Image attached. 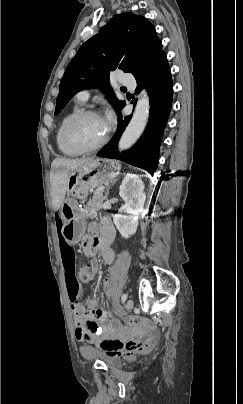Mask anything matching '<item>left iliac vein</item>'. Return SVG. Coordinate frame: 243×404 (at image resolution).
I'll list each match as a JSON object with an SVG mask.
<instances>
[{"instance_id": "left-iliac-vein-1", "label": "left iliac vein", "mask_w": 243, "mask_h": 404, "mask_svg": "<svg viewBox=\"0 0 243 404\" xmlns=\"http://www.w3.org/2000/svg\"><path fill=\"white\" fill-rule=\"evenodd\" d=\"M134 306V302L132 299H128L125 305L126 311H130Z\"/></svg>"}]
</instances>
